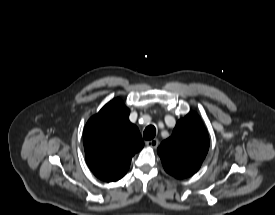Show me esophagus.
<instances>
[{
	"label": "esophagus",
	"mask_w": 275,
	"mask_h": 215,
	"mask_svg": "<svg viewBox=\"0 0 275 215\" xmlns=\"http://www.w3.org/2000/svg\"><path fill=\"white\" fill-rule=\"evenodd\" d=\"M158 145H159L158 139H152V140L146 142V146L153 148V149L157 148Z\"/></svg>",
	"instance_id": "esophagus-1"
}]
</instances>
